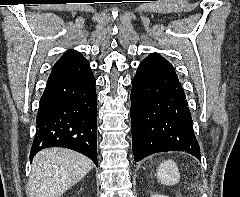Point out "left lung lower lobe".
Wrapping results in <instances>:
<instances>
[{
    "label": "left lung lower lobe",
    "instance_id": "left-lung-lower-lobe-1",
    "mask_svg": "<svg viewBox=\"0 0 240 197\" xmlns=\"http://www.w3.org/2000/svg\"><path fill=\"white\" fill-rule=\"evenodd\" d=\"M130 99L136 162L165 151H185L201 160L186 96L174 69L139 65Z\"/></svg>",
    "mask_w": 240,
    "mask_h": 197
}]
</instances>
